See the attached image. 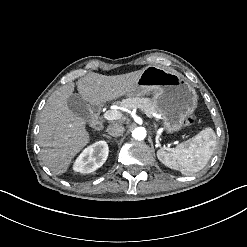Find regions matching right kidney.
Returning <instances> with one entry per match:
<instances>
[{"label":"right kidney","instance_id":"obj_1","mask_svg":"<svg viewBox=\"0 0 247 247\" xmlns=\"http://www.w3.org/2000/svg\"><path fill=\"white\" fill-rule=\"evenodd\" d=\"M108 144L104 140L96 141L85 147L73 162L72 170L82 175L90 174L100 168L107 160Z\"/></svg>","mask_w":247,"mask_h":247}]
</instances>
